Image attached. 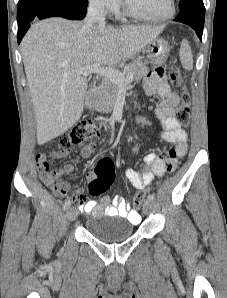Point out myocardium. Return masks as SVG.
Instances as JSON below:
<instances>
[{"label": "myocardium", "instance_id": "f54148a6", "mask_svg": "<svg viewBox=\"0 0 227 298\" xmlns=\"http://www.w3.org/2000/svg\"><path fill=\"white\" fill-rule=\"evenodd\" d=\"M123 13L125 16H127L133 20H136V21L148 22V23H162V22L168 21L174 17V15L176 13V1L169 0L168 11L164 15L158 16V17H148V16L139 15V14L135 13L134 11H132L128 7V5L126 4L125 1L123 2Z\"/></svg>", "mask_w": 227, "mask_h": 298}]
</instances>
